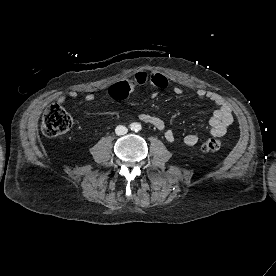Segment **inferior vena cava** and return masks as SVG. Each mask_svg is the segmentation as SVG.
Returning a JSON list of instances; mask_svg holds the SVG:
<instances>
[{
  "mask_svg": "<svg viewBox=\"0 0 276 276\" xmlns=\"http://www.w3.org/2000/svg\"><path fill=\"white\" fill-rule=\"evenodd\" d=\"M128 132V129L123 125H118L115 129V133L119 136L125 135Z\"/></svg>",
  "mask_w": 276,
  "mask_h": 276,
  "instance_id": "1",
  "label": "inferior vena cava"
}]
</instances>
